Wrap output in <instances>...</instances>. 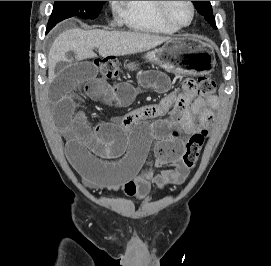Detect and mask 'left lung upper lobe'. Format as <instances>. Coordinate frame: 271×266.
<instances>
[{
	"label": "left lung upper lobe",
	"mask_w": 271,
	"mask_h": 266,
	"mask_svg": "<svg viewBox=\"0 0 271 266\" xmlns=\"http://www.w3.org/2000/svg\"><path fill=\"white\" fill-rule=\"evenodd\" d=\"M197 11L204 16L205 20L216 28L215 18L213 16L212 6L210 1H192Z\"/></svg>",
	"instance_id": "left-lung-upper-lobe-1"
}]
</instances>
